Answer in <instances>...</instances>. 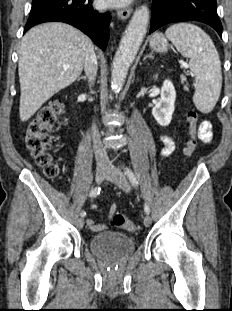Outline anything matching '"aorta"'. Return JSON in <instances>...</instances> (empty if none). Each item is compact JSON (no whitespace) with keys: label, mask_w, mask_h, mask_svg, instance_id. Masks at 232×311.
<instances>
[{"label":"aorta","mask_w":232,"mask_h":311,"mask_svg":"<svg viewBox=\"0 0 232 311\" xmlns=\"http://www.w3.org/2000/svg\"><path fill=\"white\" fill-rule=\"evenodd\" d=\"M148 23L149 10L146 5H142L134 12L113 60L111 88L115 93L119 92L125 83L129 67L145 37Z\"/></svg>","instance_id":"1"}]
</instances>
